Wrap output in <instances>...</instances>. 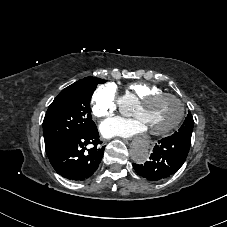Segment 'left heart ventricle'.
I'll return each mask as SVG.
<instances>
[{
	"label": "left heart ventricle",
	"mask_w": 227,
	"mask_h": 227,
	"mask_svg": "<svg viewBox=\"0 0 227 227\" xmlns=\"http://www.w3.org/2000/svg\"><path fill=\"white\" fill-rule=\"evenodd\" d=\"M179 112L180 108L176 100L164 96L146 105L138 104L133 115L148 131H162L176 120Z\"/></svg>",
	"instance_id": "obj_1"
}]
</instances>
